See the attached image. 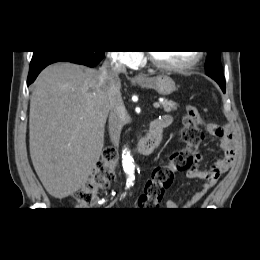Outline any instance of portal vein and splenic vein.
Returning <instances> with one entry per match:
<instances>
[{
    "mask_svg": "<svg viewBox=\"0 0 260 260\" xmlns=\"http://www.w3.org/2000/svg\"><path fill=\"white\" fill-rule=\"evenodd\" d=\"M153 106H154L155 108H159V107H160V103H159V102H155V103L153 104Z\"/></svg>",
    "mask_w": 260,
    "mask_h": 260,
    "instance_id": "18ae733b",
    "label": "portal vein and splenic vein"
}]
</instances>
